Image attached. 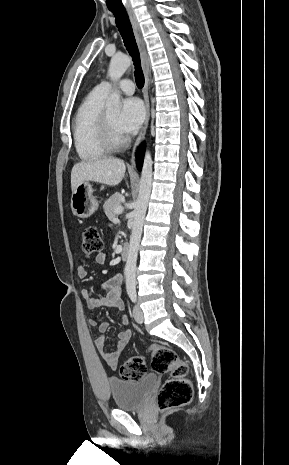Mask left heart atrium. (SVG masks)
Returning a JSON list of instances; mask_svg holds the SVG:
<instances>
[{"instance_id":"left-heart-atrium-1","label":"left heart atrium","mask_w":289,"mask_h":465,"mask_svg":"<svg viewBox=\"0 0 289 465\" xmlns=\"http://www.w3.org/2000/svg\"><path fill=\"white\" fill-rule=\"evenodd\" d=\"M145 118L144 106L138 98L124 100L118 116V129L122 134L130 135L137 132Z\"/></svg>"}]
</instances>
